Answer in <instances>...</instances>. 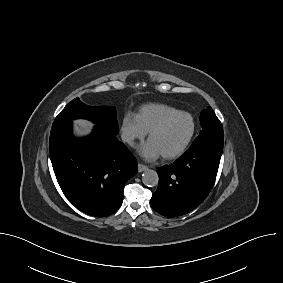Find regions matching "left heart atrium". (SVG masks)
Returning <instances> with one entry per match:
<instances>
[{"label": "left heart atrium", "mask_w": 283, "mask_h": 283, "mask_svg": "<svg viewBox=\"0 0 283 283\" xmlns=\"http://www.w3.org/2000/svg\"><path fill=\"white\" fill-rule=\"evenodd\" d=\"M138 152L142 158L148 161L156 160L162 155L157 146L150 139L138 148Z\"/></svg>", "instance_id": "left-heart-atrium-1"}]
</instances>
